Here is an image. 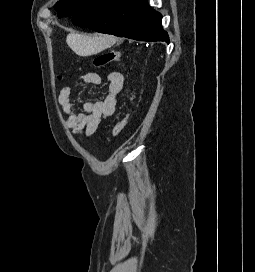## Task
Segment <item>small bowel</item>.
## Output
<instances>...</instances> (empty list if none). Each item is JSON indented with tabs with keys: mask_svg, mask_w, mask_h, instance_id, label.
Wrapping results in <instances>:
<instances>
[{
	"mask_svg": "<svg viewBox=\"0 0 255 272\" xmlns=\"http://www.w3.org/2000/svg\"><path fill=\"white\" fill-rule=\"evenodd\" d=\"M82 82L87 85H100L101 78L94 72L86 73ZM124 77L120 72L107 75V94L98 101L83 104V113H76L71 99V87L65 86L59 93V103L66 115V125L77 135L92 136L102 120L109 119L115 112L118 98L123 89Z\"/></svg>",
	"mask_w": 255,
	"mask_h": 272,
	"instance_id": "obj_1",
	"label": "small bowel"
}]
</instances>
